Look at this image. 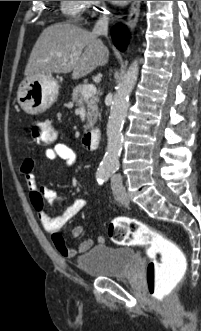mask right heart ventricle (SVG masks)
Here are the masks:
<instances>
[{
  "mask_svg": "<svg viewBox=\"0 0 201 331\" xmlns=\"http://www.w3.org/2000/svg\"><path fill=\"white\" fill-rule=\"evenodd\" d=\"M61 10L73 22H79L84 10L82 1H61Z\"/></svg>",
  "mask_w": 201,
  "mask_h": 331,
  "instance_id": "right-heart-ventricle-1",
  "label": "right heart ventricle"
}]
</instances>
